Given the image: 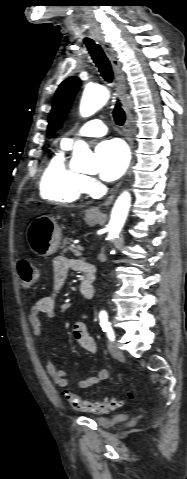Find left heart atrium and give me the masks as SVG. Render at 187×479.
Returning <instances> with one entry per match:
<instances>
[{
    "label": "left heart atrium",
    "instance_id": "1",
    "mask_svg": "<svg viewBox=\"0 0 187 479\" xmlns=\"http://www.w3.org/2000/svg\"><path fill=\"white\" fill-rule=\"evenodd\" d=\"M95 152L100 162L101 179L113 181L123 174L128 164V152L120 140H104L97 145Z\"/></svg>",
    "mask_w": 187,
    "mask_h": 479
}]
</instances>
